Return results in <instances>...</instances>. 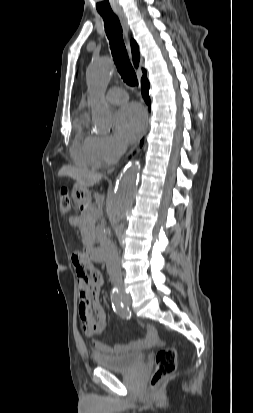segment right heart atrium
<instances>
[{
	"instance_id": "1",
	"label": "right heart atrium",
	"mask_w": 253,
	"mask_h": 413,
	"mask_svg": "<svg viewBox=\"0 0 253 413\" xmlns=\"http://www.w3.org/2000/svg\"><path fill=\"white\" fill-rule=\"evenodd\" d=\"M96 144L105 163H113L123 153V147L111 136H97Z\"/></svg>"
}]
</instances>
